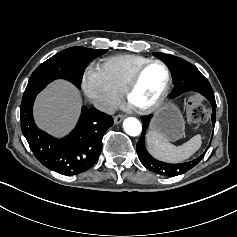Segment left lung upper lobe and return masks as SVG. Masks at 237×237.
Instances as JSON below:
<instances>
[{"instance_id": "left-lung-upper-lobe-1", "label": "left lung upper lobe", "mask_w": 237, "mask_h": 237, "mask_svg": "<svg viewBox=\"0 0 237 237\" xmlns=\"http://www.w3.org/2000/svg\"><path fill=\"white\" fill-rule=\"evenodd\" d=\"M156 57L165 62L173 74L175 87L171 94V98H175L185 92L190 91L199 92L203 96H207L208 94L214 93L208 80L200 73V71L194 65L190 64L186 60L164 53H156ZM150 119L151 116L142 117L143 132L139 142L137 143L138 157L141 163L148 170L160 175L177 176L187 172L202 160L206 151L210 147V144L201 156L186 163L168 164L154 159L146 151L144 146V135L146 129L148 128Z\"/></svg>"}]
</instances>
